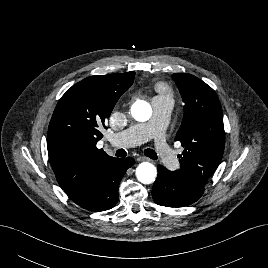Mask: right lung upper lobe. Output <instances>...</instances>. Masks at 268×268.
<instances>
[{"label":"right lung upper lobe","instance_id":"1","mask_svg":"<svg viewBox=\"0 0 268 268\" xmlns=\"http://www.w3.org/2000/svg\"><path fill=\"white\" fill-rule=\"evenodd\" d=\"M134 75L130 71L87 77L58 101L47 133L48 156L59 185L74 202L87 195L96 176L116 159L96 144Z\"/></svg>","mask_w":268,"mask_h":268}]
</instances>
